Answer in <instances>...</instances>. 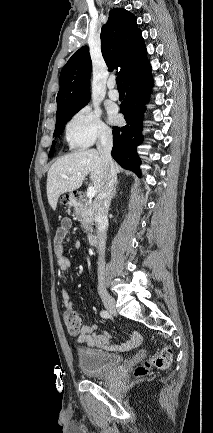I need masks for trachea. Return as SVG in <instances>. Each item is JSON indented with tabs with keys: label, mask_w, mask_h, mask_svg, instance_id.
Wrapping results in <instances>:
<instances>
[{
	"label": "trachea",
	"mask_w": 213,
	"mask_h": 433,
	"mask_svg": "<svg viewBox=\"0 0 213 433\" xmlns=\"http://www.w3.org/2000/svg\"><path fill=\"white\" fill-rule=\"evenodd\" d=\"M116 84H117V88H118V89H123V84H122V81H121V77H120V76H118V77L116 78Z\"/></svg>",
	"instance_id": "3493384b"
}]
</instances>
